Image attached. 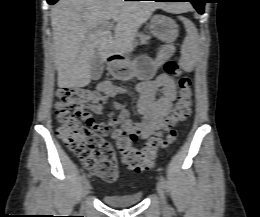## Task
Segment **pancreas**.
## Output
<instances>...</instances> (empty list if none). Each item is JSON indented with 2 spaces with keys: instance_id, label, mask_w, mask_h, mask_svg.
I'll return each instance as SVG.
<instances>
[{
  "instance_id": "cf45deb5",
  "label": "pancreas",
  "mask_w": 260,
  "mask_h": 217,
  "mask_svg": "<svg viewBox=\"0 0 260 217\" xmlns=\"http://www.w3.org/2000/svg\"><path fill=\"white\" fill-rule=\"evenodd\" d=\"M139 37H140V43L141 44H146L148 42V40L150 39L149 36L143 35V34H140Z\"/></svg>"
}]
</instances>
